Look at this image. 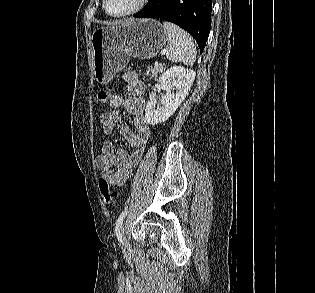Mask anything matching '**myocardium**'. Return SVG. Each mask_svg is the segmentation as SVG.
<instances>
[{
  "instance_id": "myocardium-1",
  "label": "myocardium",
  "mask_w": 315,
  "mask_h": 293,
  "mask_svg": "<svg viewBox=\"0 0 315 293\" xmlns=\"http://www.w3.org/2000/svg\"><path fill=\"white\" fill-rule=\"evenodd\" d=\"M148 2H149V0H139L137 5L134 8H132L131 10H129L125 13H122V14H112L107 9V0H103V9H104L105 13L111 17L123 18V17H127V16H130V15H133V14L140 12L147 5Z\"/></svg>"
}]
</instances>
